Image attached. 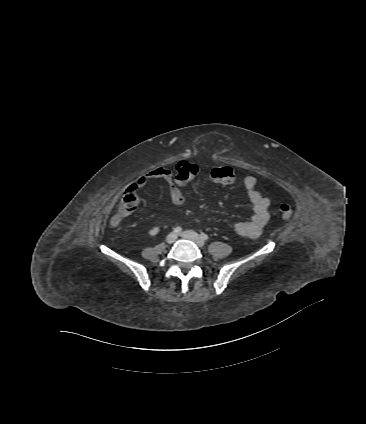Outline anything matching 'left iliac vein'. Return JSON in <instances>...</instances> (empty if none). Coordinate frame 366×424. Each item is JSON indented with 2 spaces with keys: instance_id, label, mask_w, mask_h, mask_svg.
I'll use <instances>...</instances> for the list:
<instances>
[{
  "instance_id": "1",
  "label": "left iliac vein",
  "mask_w": 366,
  "mask_h": 424,
  "mask_svg": "<svg viewBox=\"0 0 366 424\" xmlns=\"http://www.w3.org/2000/svg\"><path fill=\"white\" fill-rule=\"evenodd\" d=\"M181 237H183L184 239H188L193 241L198 247H203L204 246V241L201 239V237L194 231L188 230V231H184L181 234Z\"/></svg>"
}]
</instances>
